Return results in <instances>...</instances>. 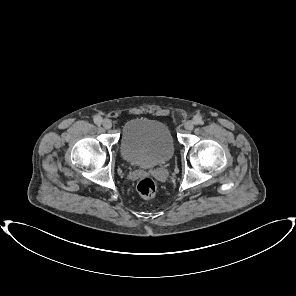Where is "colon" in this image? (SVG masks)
Masks as SVG:
<instances>
[{"label":"colon","instance_id":"1","mask_svg":"<svg viewBox=\"0 0 296 296\" xmlns=\"http://www.w3.org/2000/svg\"><path fill=\"white\" fill-rule=\"evenodd\" d=\"M139 194L145 198H152L156 192V183L150 177L142 178L137 184Z\"/></svg>","mask_w":296,"mask_h":296}]
</instances>
